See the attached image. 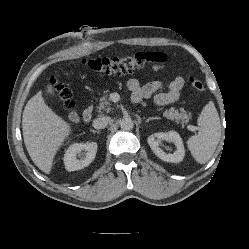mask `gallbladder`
Instances as JSON below:
<instances>
[{"instance_id": "1", "label": "gallbladder", "mask_w": 249, "mask_h": 249, "mask_svg": "<svg viewBox=\"0 0 249 249\" xmlns=\"http://www.w3.org/2000/svg\"><path fill=\"white\" fill-rule=\"evenodd\" d=\"M47 94H49V95H52V94H53V88H52L51 85H48V86H47ZM69 118H70V119L74 118V113H71V114L69 115Z\"/></svg>"}]
</instances>
